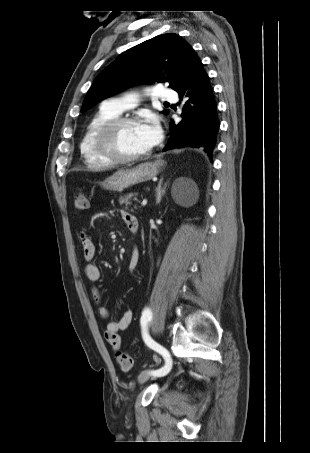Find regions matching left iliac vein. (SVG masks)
Wrapping results in <instances>:
<instances>
[{
  "mask_svg": "<svg viewBox=\"0 0 310 453\" xmlns=\"http://www.w3.org/2000/svg\"><path fill=\"white\" fill-rule=\"evenodd\" d=\"M150 376V372L148 370H144L138 375V382L143 384L150 378Z\"/></svg>",
  "mask_w": 310,
  "mask_h": 453,
  "instance_id": "left-iliac-vein-1",
  "label": "left iliac vein"
}]
</instances>
